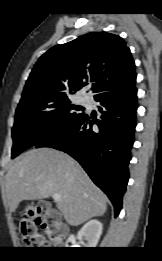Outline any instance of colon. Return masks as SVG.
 <instances>
[{"label":"colon","mask_w":162,"mask_h":261,"mask_svg":"<svg viewBox=\"0 0 162 261\" xmlns=\"http://www.w3.org/2000/svg\"><path fill=\"white\" fill-rule=\"evenodd\" d=\"M59 221V213L47 202L27 206L17 221L23 245L27 248H44L50 246L51 241L58 242L63 236Z\"/></svg>","instance_id":"colon-1"}]
</instances>
